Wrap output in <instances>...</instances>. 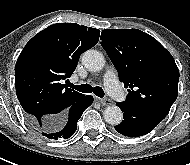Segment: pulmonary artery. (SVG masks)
Masks as SVG:
<instances>
[{"label":"pulmonary artery","instance_id":"obj_1","mask_svg":"<svg viewBox=\"0 0 190 165\" xmlns=\"http://www.w3.org/2000/svg\"><path fill=\"white\" fill-rule=\"evenodd\" d=\"M104 85L107 92L116 99H122L123 91L118 83L117 74L114 70L110 69L104 74Z\"/></svg>","mask_w":190,"mask_h":165}]
</instances>
